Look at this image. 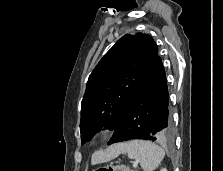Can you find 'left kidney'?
Masks as SVG:
<instances>
[{
    "label": "left kidney",
    "mask_w": 223,
    "mask_h": 171,
    "mask_svg": "<svg viewBox=\"0 0 223 171\" xmlns=\"http://www.w3.org/2000/svg\"><path fill=\"white\" fill-rule=\"evenodd\" d=\"M160 171H168L166 168H164V169H161Z\"/></svg>",
    "instance_id": "obj_1"
}]
</instances>
